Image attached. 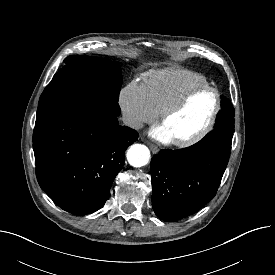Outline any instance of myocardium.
I'll use <instances>...</instances> for the list:
<instances>
[{
    "instance_id": "obj_1",
    "label": "myocardium",
    "mask_w": 275,
    "mask_h": 275,
    "mask_svg": "<svg viewBox=\"0 0 275 275\" xmlns=\"http://www.w3.org/2000/svg\"><path fill=\"white\" fill-rule=\"evenodd\" d=\"M206 90L214 92L216 97L215 107L209 120L195 134L186 138L172 139V143L174 145L179 147L191 146L202 140L213 129L221 109V94L219 90L213 86H210L208 84L200 85L185 92L176 101H174L172 104H170L163 111L160 112L159 121L161 124H163L170 116L178 112L194 95Z\"/></svg>"
}]
</instances>
